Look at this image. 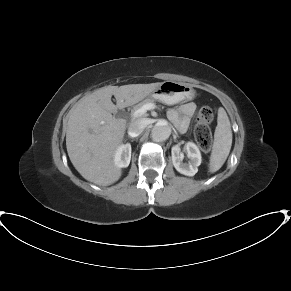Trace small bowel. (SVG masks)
Returning a JSON list of instances; mask_svg holds the SVG:
<instances>
[{"instance_id":"1","label":"small bowel","mask_w":291,"mask_h":291,"mask_svg":"<svg viewBox=\"0 0 291 291\" xmlns=\"http://www.w3.org/2000/svg\"><path fill=\"white\" fill-rule=\"evenodd\" d=\"M195 111V104L185 103L179 109H170L168 111V118L178 130L185 131L187 130L190 118L194 115Z\"/></svg>"}]
</instances>
